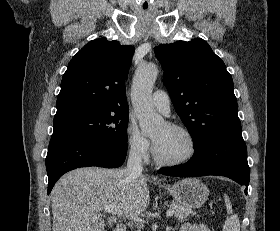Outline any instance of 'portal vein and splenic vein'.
<instances>
[{
	"label": "portal vein and splenic vein",
	"mask_w": 280,
	"mask_h": 231,
	"mask_svg": "<svg viewBox=\"0 0 280 231\" xmlns=\"http://www.w3.org/2000/svg\"><path fill=\"white\" fill-rule=\"evenodd\" d=\"M104 211H108V213H119L118 209H116V207H111V205H106V207H104ZM174 213V209H167L166 211V215H173ZM134 221H143V219H141V217H133Z\"/></svg>",
	"instance_id": "1"
}]
</instances>
